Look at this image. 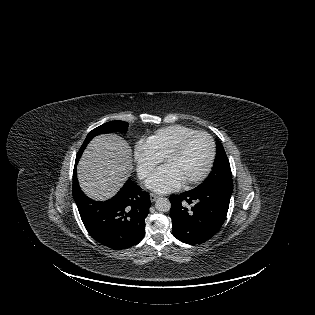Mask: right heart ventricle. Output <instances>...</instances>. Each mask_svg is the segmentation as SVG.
<instances>
[{"mask_svg":"<svg viewBox=\"0 0 315 315\" xmlns=\"http://www.w3.org/2000/svg\"><path fill=\"white\" fill-rule=\"evenodd\" d=\"M196 130L181 124L166 126L154 131L146 138V143L153 150L155 155L163 159L165 154L176 145L186 135Z\"/></svg>","mask_w":315,"mask_h":315,"instance_id":"e07e8e85","label":"right heart ventricle"}]
</instances>
